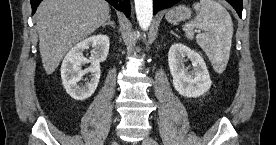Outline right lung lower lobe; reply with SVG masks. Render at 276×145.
<instances>
[{"mask_svg": "<svg viewBox=\"0 0 276 145\" xmlns=\"http://www.w3.org/2000/svg\"><path fill=\"white\" fill-rule=\"evenodd\" d=\"M42 0H30L32 6V14L35 13L37 6ZM117 10H120L125 13L127 17L130 16V0H106Z\"/></svg>", "mask_w": 276, "mask_h": 145, "instance_id": "1", "label": "right lung lower lobe"}]
</instances>
